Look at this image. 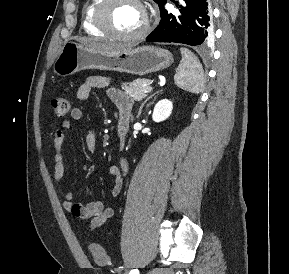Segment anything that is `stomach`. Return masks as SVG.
Segmentation results:
<instances>
[{
	"mask_svg": "<svg viewBox=\"0 0 289 274\" xmlns=\"http://www.w3.org/2000/svg\"><path fill=\"white\" fill-rule=\"evenodd\" d=\"M172 63V54L158 47L140 46L119 52H105L68 41L55 60L53 71L61 77L86 69L145 75L165 69Z\"/></svg>",
	"mask_w": 289,
	"mask_h": 274,
	"instance_id": "1",
	"label": "stomach"
}]
</instances>
